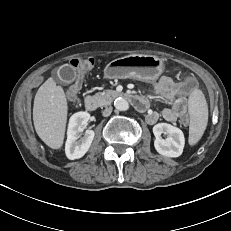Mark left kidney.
I'll return each instance as SVG.
<instances>
[{"mask_svg": "<svg viewBox=\"0 0 231 231\" xmlns=\"http://www.w3.org/2000/svg\"><path fill=\"white\" fill-rule=\"evenodd\" d=\"M153 133L156 137L154 147L156 151L166 157H179L185 145V138L182 130L168 123H158L153 127ZM168 135L166 139L161 134Z\"/></svg>", "mask_w": 231, "mask_h": 231, "instance_id": "left-kidney-1", "label": "left kidney"}]
</instances>
